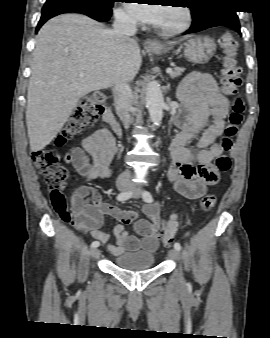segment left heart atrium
Instances as JSON below:
<instances>
[{
  "instance_id": "left-heart-atrium-1",
  "label": "left heart atrium",
  "mask_w": 270,
  "mask_h": 338,
  "mask_svg": "<svg viewBox=\"0 0 270 338\" xmlns=\"http://www.w3.org/2000/svg\"><path fill=\"white\" fill-rule=\"evenodd\" d=\"M135 1V0H134ZM152 3L156 1L150 0ZM139 2V1H138ZM133 14L143 22L157 24L162 16L163 8L161 5L127 3Z\"/></svg>"
}]
</instances>
